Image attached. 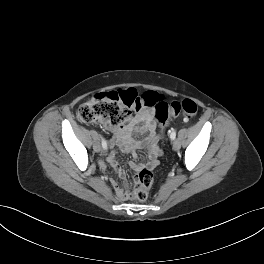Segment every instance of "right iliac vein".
<instances>
[{
	"label": "right iliac vein",
	"mask_w": 264,
	"mask_h": 264,
	"mask_svg": "<svg viewBox=\"0 0 264 264\" xmlns=\"http://www.w3.org/2000/svg\"><path fill=\"white\" fill-rule=\"evenodd\" d=\"M94 150H95L96 152H100V151H101V146H100L99 143H96V144L94 145Z\"/></svg>",
	"instance_id": "obj_1"
}]
</instances>
